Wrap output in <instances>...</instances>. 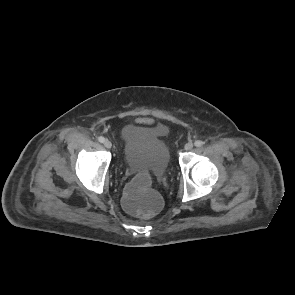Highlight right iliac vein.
Returning a JSON list of instances; mask_svg holds the SVG:
<instances>
[{"label": "right iliac vein", "mask_w": 295, "mask_h": 295, "mask_svg": "<svg viewBox=\"0 0 295 295\" xmlns=\"http://www.w3.org/2000/svg\"><path fill=\"white\" fill-rule=\"evenodd\" d=\"M104 146H105L107 149H110V148L112 147V143H111V141H109V140H105V142H104Z\"/></svg>", "instance_id": "right-iliac-vein-1"}]
</instances>
